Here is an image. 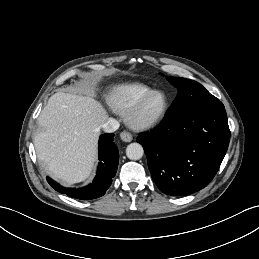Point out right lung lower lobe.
I'll return each mask as SVG.
<instances>
[{"label":"right lung lower lobe","mask_w":259,"mask_h":259,"mask_svg":"<svg viewBox=\"0 0 259 259\" xmlns=\"http://www.w3.org/2000/svg\"><path fill=\"white\" fill-rule=\"evenodd\" d=\"M114 134H103L99 139V168L92 184L79 189L64 188L47 177L48 183L58 192L70 197L89 200L105 194L115 176L119 162V154L113 142Z\"/></svg>","instance_id":"right-lung-lower-lobe-1"}]
</instances>
